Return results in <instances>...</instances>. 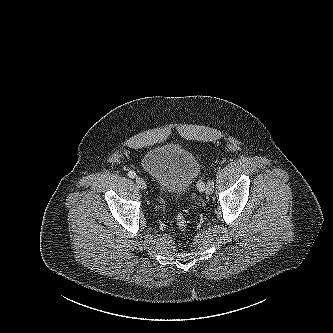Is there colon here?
Wrapping results in <instances>:
<instances>
[{"mask_svg": "<svg viewBox=\"0 0 333 333\" xmlns=\"http://www.w3.org/2000/svg\"><path fill=\"white\" fill-rule=\"evenodd\" d=\"M176 225L178 229L184 231L187 229L188 221L184 213L178 212L176 215Z\"/></svg>", "mask_w": 333, "mask_h": 333, "instance_id": "obj_1", "label": "colon"}]
</instances>
